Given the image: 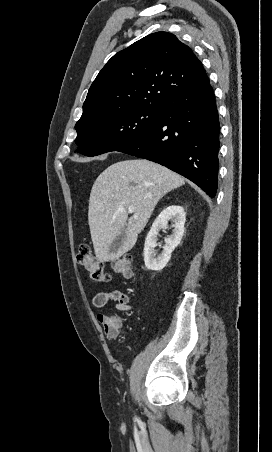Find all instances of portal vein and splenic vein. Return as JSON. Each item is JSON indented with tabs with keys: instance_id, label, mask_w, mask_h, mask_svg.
Segmentation results:
<instances>
[{
	"instance_id": "18ae733b",
	"label": "portal vein and splenic vein",
	"mask_w": 272,
	"mask_h": 452,
	"mask_svg": "<svg viewBox=\"0 0 272 452\" xmlns=\"http://www.w3.org/2000/svg\"><path fill=\"white\" fill-rule=\"evenodd\" d=\"M133 211H134V207H133V206H129V207H128V212H129V213H132Z\"/></svg>"
}]
</instances>
